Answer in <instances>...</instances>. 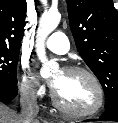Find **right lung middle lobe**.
Listing matches in <instances>:
<instances>
[{"label":"right lung middle lobe","mask_w":118,"mask_h":123,"mask_svg":"<svg viewBox=\"0 0 118 123\" xmlns=\"http://www.w3.org/2000/svg\"><path fill=\"white\" fill-rule=\"evenodd\" d=\"M19 50L0 48V85L17 86Z\"/></svg>","instance_id":"1"}]
</instances>
